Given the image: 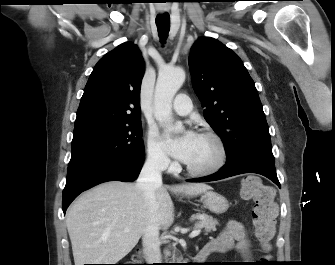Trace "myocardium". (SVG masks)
I'll return each instance as SVG.
<instances>
[{"instance_id": "myocardium-1", "label": "myocardium", "mask_w": 335, "mask_h": 265, "mask_svg": "<svg viewBox=\"0 0 335 265\" xmlns=\"http://www.w3.org/2000/svg\"><path fill=\"white\" fill-rule=\"evenodd\" d=\"M199 136L212 139L216 143L218 148V157L216 161L207 168L197 169L185 164V169L192 176L206 177L215 174L225 165L228 157V150L222 137L215 132L203 131L199 134Z\"/></svg>"}]
</instances>
